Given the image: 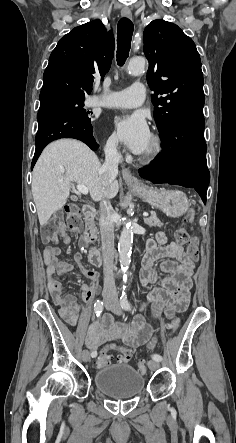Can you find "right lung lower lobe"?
<instances>
[{
    "instance_id": "1",
    "label": "right lung lower lobe",
    "mask_w": 236,
    "mask_h": 443,
    "mask_svg": "<svg viewBox=\"0 0 236 443\" xmlns=\"http://www.w3.org/2000/svg\"><path fill=\"white\" fill-rule=\"evenodd\" d=\"M37 120L39 127L35 138L36 150L31 168L35 165L44 147L56 139L75 138L86 143L92 150L99 147L93 137L91 121L81 118L59 101H41Z\"/></svg>"
}]
</instances>
